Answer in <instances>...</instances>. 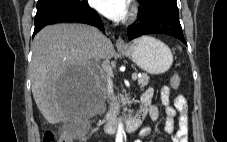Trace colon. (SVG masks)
Wrapping results in <instances>:
<instances>
[{
    "mask_svg": "<svg viewBox=\"0 0 227 142\" xmlns=\"http://www.w3.org/2000/svg\"><path fill=\"white\" fill-rule=\"evenodd\" d=\"M180 83L178 76L171 79L170 85L172 88H177ZM43 142H56L55 134L52 131H46L43 136ZM58 142H73V139L67 135L62 136Z\"/></svg>",
    "mask_w": 227,
    "mask_h": 142,
    "instance_id": "obj_1",
    "label": "colon"
}]
</instances>
